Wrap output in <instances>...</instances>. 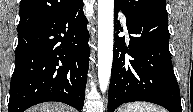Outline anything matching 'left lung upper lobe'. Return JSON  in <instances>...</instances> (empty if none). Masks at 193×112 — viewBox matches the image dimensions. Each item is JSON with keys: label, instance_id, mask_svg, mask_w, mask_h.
Masks as SVG:
<instances>
[{"label": "left lung upper lobe", "instance_id": "1", "mask_svg": "<svg viewBox=\"0 0 193 112\" xmlns=\"http://www.w3.org/2000/svg\"><path fill=\"white\" fill-rule=\"evenodd\" d=\"M114 7L129 18L167 14L165 0H115Z\"/></svg>", "mask_w": 193, "mask_h": 112}]
</instances>
